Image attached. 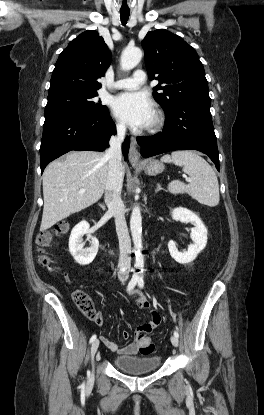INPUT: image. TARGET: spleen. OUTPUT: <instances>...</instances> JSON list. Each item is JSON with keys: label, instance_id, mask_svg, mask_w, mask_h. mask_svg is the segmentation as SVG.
Segmentation results:
<instances>
[{"label": "spleen", "instance_id": "spleen-1", "mask_svg": "<svg viewBox=\"0 0 264 415\" xmlns=\"http://www.w3.org/2000/svg\"><path fill=\"white\" fill-rule=\"evenodd\" d=\"M161 161L174 163L190 176V183L173 180L168 184L172 194L187 193L199 203L214 207L219 204V185L213 168L193 151H174L162 156Z\"/></svg>", "mask_w": 264, "mask_h": 415}]
</instances>
